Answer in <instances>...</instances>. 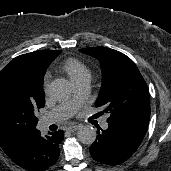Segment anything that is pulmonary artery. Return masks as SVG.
Wrapping results in <instances>:
<instances>
[{
  "mask_svg": "<svg viewBox=\"0 0 171 171\" xmlns=\"http://www.w3.org/2000/svg\"><path fill=\"white\" fill-rule=\"evenodd\" d=\"M74 85L76 89L75 97L72 100L53 108L45 117H43V124L50 125L65 120L71 117L77 111V109L88 96L89 77L77 80L74 82ZM101 126L103 129H107V121L103 120Z\"/></svg>",
  "mask_w": 171,
  "mask_h": 171,
  "instance_id": "pulmonary-artery-1",
  "label": "pulmonary artery"
}]
</instances>
